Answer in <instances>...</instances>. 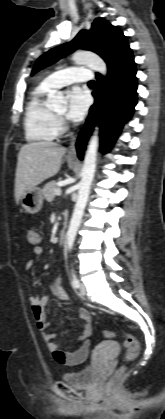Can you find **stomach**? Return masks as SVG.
Segmentation results:
<instances>
[{"instance_id": "0dacf381", "label": "stomach", "mask_w": 165, "mask_h": 419, "mask_svg": "<svg viewBox=\"0 0 165 419\" xmlns=\"http://www.w3.org/2000/svg\"><path fill=\"white\" fill-rule=\"evenodd\" d=\"M43 193L39 187L24 192L20 198V204L27 213H38L43 205Z\"/></svg>"}]
</instances>
